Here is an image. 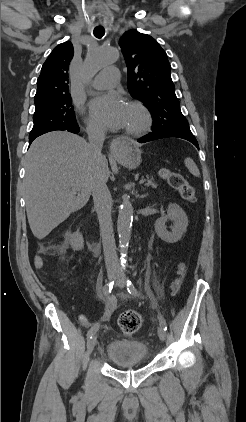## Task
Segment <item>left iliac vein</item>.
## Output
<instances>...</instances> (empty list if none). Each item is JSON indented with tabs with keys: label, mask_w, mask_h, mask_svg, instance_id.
<instances>
[{
	"label": "left iliac vein",
	"mask_w": 246,
	"mask_h": 422,
	"mask_svg": "<svg viewBox=\"0 0 246 422\" xmlns=\"http://www.w3.org/2000/svg\"><path fill=\"white\" fill-rule=\"evenodd\" d=\"M125 284H126L125 277H124V275H121L119 280L117 281L116 285L120 288H124ZM158 337L161 341H164L165 337H166V332L164 331V329L161 326L158 328Z\"/></svg>",
	"instance_id": "left-iliac-vein-1"
}]
</instances>
